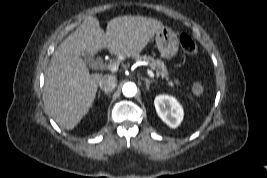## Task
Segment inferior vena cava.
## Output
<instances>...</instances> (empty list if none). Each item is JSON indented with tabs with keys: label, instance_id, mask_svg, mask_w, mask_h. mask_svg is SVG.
<instances>
[{
	"label": "inferior vena cava",
	"instance_id": "1",
	"mask_svg": "<svg viewBox=\"0 0 267 178\" xmlns=\"http://www.w3.org/2000/svg\"><path fill=\"white\" fill-rule=\"evenodd\" d=\"M116 85L117 79L114 75H105L99 82V86L104 92H111Z\"/></svg>",
	"mask_w": 267,
	"mask_h": 178
}]
</instances>
